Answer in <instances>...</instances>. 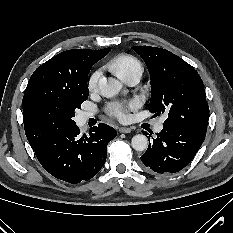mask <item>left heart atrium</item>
Listing matches in <instances>:
<instances>
[{
    "mask_svg": "<svg viewBox=\"0 0 233 233\" xmlns=\"http://www.w3.org/2000/svg\"><path fill=\"white\" fill-rule=\"evenodd\" d=\"M136 107H137V103L134 101H130L128 103L112 102L108 104L107 110L110 115L120 120H125L127 118L128 110L135 109Z\"/></svg>",
    "mask_w": 233,
    "mask_h": 233,
    "instance_id": "obj_1",
    "label": "left heart atrium"
}]
</instances>
